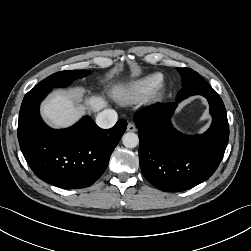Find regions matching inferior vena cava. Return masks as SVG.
Returning <instances> with one entry per match:
<instances>
[{"instance_id":"602c4592","label":"inferior vena cava","mask_w":251,"mask_h":251,"mask_svg":"<svg viewBox=\"0 0 251 251\" xmlns=\"http://www.w3.org/2000/svg\"><path fill=\"white\" fill-rule=\"evenodd\" d=\"M118 115L115 110L105 109L98 113L96 117V124L103 129H108L114 126L117 122Z\"/></svg>"}]
</instances>
